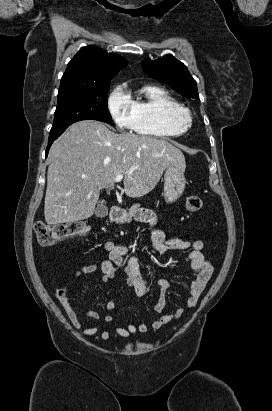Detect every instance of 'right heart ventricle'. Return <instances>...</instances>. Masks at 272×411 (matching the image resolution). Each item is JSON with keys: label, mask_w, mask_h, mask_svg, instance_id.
Listing matches in <instances>:
<instances>
[{"label": "right heart ventricle", "mask_w": 272, "mask_h": 411, "mask_svg": "<svg viewBox=\"0 0 272 411\" xmlns=\"http://www.w3.org/2000/svg\"><path fill=\"white\" fill-rule=\"evenodd\" d=\"M130 99L134 109L132 129L138 134L169 138L186 132L188 127L177 118L189 115V111L165 89L146 86Z\"/></svg>", "instance_id": "1"}]
</instances>
